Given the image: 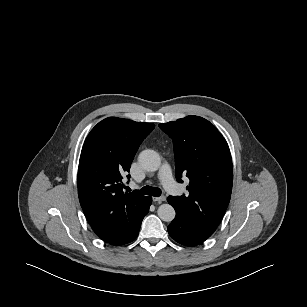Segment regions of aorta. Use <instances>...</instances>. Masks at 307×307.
<instances>
[{
	"label": "aorta",
	"mask_w": 307,
	"mask_h": 307,
	"mask_svg": "<svg viewBox=\"0 0 307 307\" xmlns=\"http://www.w3.org/2000/svg\"><path fill=\"white\" fill-rule=\"evenodd\" d=\"M138 162L144 170L154 172L160 167L161 158L156 151L146 149L139 154ZM157 214L162 221L171 222L176 213L170 204H162L159 206Z\"/></svg>",
	"instance_id": "1"
}]
</instances>
